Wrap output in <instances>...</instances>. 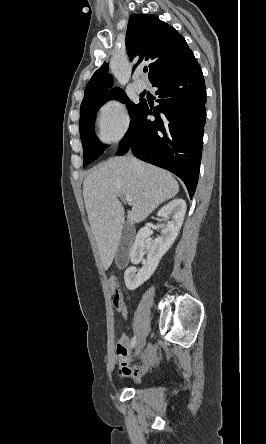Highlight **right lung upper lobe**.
Returning a JSON list of instances; mask_svg holds the SVG:
<instances>
[{"label":"right lung upper lobe","instance_id":"cb5924a9","mask_svg":"<svg viewBox=\"0 0 266 444\" xmlns=\"http://www.w3.org/2000/svg\"><path fill=\"white\" fill-rule=\"evenodd\" d=\"M126 48L130 59L139 55V61L149 62V80L188 65L195 59L185 39L172 26L155 15L132 14L126 34ZM113 80L106 62L93 74L84 93L82 103L93 100L119 88L107 91ZM81 103V104H82Z\"/></svg>","mask_w":266,"mask_h":444}]
</instances>
